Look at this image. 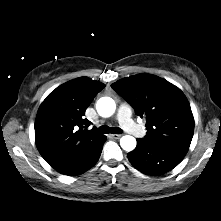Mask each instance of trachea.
<instances>
[{
  "label": "trachea",
  "instance_id": "1",
  "mask_svg": "<svg viewBox=\"0 0 221 221\" xmlns=\"http://www.w3.org/2000/svg\"><path fill=\"white\" fill-rule=\"evenodd\" d=\"M98 132L103 134H120L122 133V130L119 127L110 128L109 126L103 125L98 129Z\"/></svg>",
  "mask_w": 221,
  "mask_h": 221
}]
</instances>
